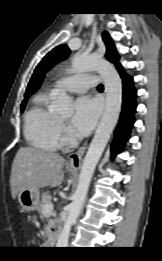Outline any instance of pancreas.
<instances>
[{"instance_id":"cf45deb5","label":"pancreas","mask_w":162,"mask_h":261,"mask_svg":"<svg viewBox=\"0 0 162 261\" xmlns=\"http://www.w3.org/2000/svg\"><path fill=\"white\" fill-rule=\"evenodd\" d=\"M52 200L51 195L48 192H45L42 194V200L39 203L37 207V211L40 214V217L44 219L45 213H44V205L47 203H50ZM55 226V221L52 219H49L48 224L45 226V236L48 238L47 242H49L53 236V231L51 230L52 227Z\"/></svg>"}]
</instances>
